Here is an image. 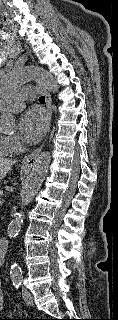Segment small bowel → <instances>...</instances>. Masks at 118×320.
<instances>
[{
    "label": "small bowel",
    "mask_w": 118,
    "mask_h": 320,
    "mask_svg": "<svg viewBox=\"0 0 118 320\" xmlns=\"http://www.w3.org/2000/svg\"><path fill=\"white\" fill-rule=\"evenodd\" d=\"M3 306H4V296H3V291L1 288V281H0V313L3 310Z\"/></svg>",
    "instance_id": "small-bowel-1"
}]
</instances>
